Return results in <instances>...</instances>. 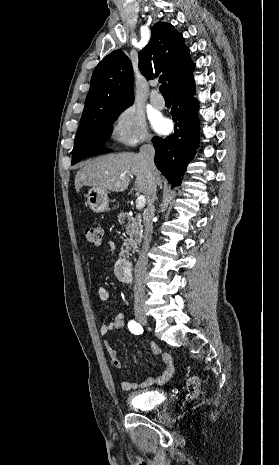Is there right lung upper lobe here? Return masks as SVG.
I'll list each match as a JSON object with an SVG mask.
<instances>
[{
  "label": "right lung upper lobe",
  "mask_w": 279,
  "mask_h": 465,
  "mask_svg": "<svg viewBox=\"0 0 279 465\" xmlns=\"http://www.w3.org/2000/svg\"><path fill=\"white\" fill-rule=\"evenodd\" d=\"M194 64L182 35L171 24L156 23L149 43L139 52V69L147 78L160 75L172 92L192 76ZM133 102V69L121 50L105 56L95 68L80 125L94 121L104 110H124Z\"/></svg>",
  "instance_id": "cb5924a9"
}]
</instances>
